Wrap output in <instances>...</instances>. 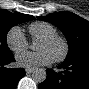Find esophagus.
I'll return each instance as SVG.
<instances>
[{
    "instance_id": "obj_1",
    "label": "esophagus",
    "mask_w": 89,
    "mask_h": 89,
    "mask_svg": "<svg viewBox=\"0 0 89 89\" xmlns=\"http://www.w3.org/2000/svg\"><path fill=\"white\" fill-rule=\"evenodd\" d=\"M33 70H34L33 68H26L25 71L27 74H31L33 72Z\"/></svg>"
}]
</instances>
